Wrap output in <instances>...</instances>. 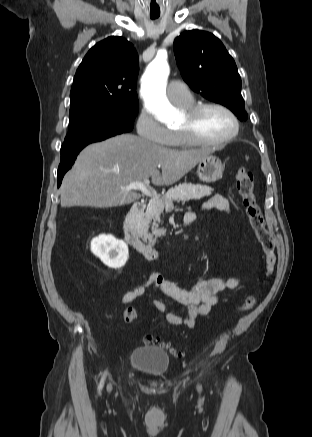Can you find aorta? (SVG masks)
I'll return each instance as SVG.
<instances>
[{
  "instance_id": "obj_1",
  "label": "aorta",
  "mask_w": 312,
  "mask_h": 437,
  "mask_svg": "<svg viewBox=\"0 0 312 437\" xmlns=\"http://www.w3.org/2000/svg\"><path fill=\"white\" fill-rule=\"evenodd\" d=\"M169 66L165 59L156 57L142 76L141 95L146 107L155 118L165 124L175 119V109L166 97V82Z\"/></svg>"
}]
</instances>
